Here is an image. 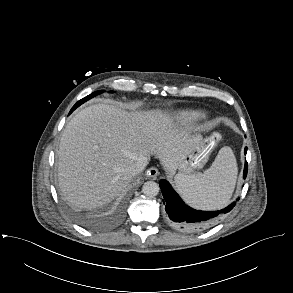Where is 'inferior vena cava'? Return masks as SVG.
<instances>
[{
	"mask_svg": "<svg viewBox=\"0 0 293 293\" xmlns=\"http://www.w3.org/2000/svg\"><path fill=\"white\" fill-rule=\"evenodd\" d=\"M147 163V159H143V160H140V161H137L135 162L134 164H132V166L130 167V172L133 174V175H136L140 172L143 171L145 165Z\"/></svg>",
	"mask_w": 293,
	"mask_h": 293,
	"instance_id": "602c4592",
	"label": "inferior vena cava"
}]
</instances>
